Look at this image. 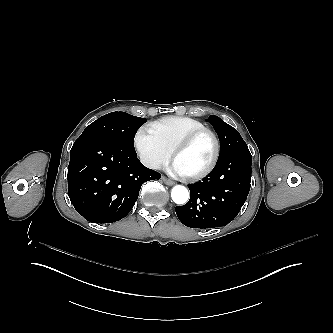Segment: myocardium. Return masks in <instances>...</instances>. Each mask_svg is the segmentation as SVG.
Segmentation results:
<instances>
[{"instance_id": "1", "label": "myocardium", "mask_w": 333, "mask_h": 333, "mask_svg": "<svg viewBox=\"0 0 333 333\" xmlns=\"http://www.w3.org/2000/svg\"><path fill=\"white\" fill-rule=\"evenodd\" d=\"M202 134H209L211 136V138L213 139L214 146H215L214 154H213L210 162L204 168L200 169L199 171H197L194 174L184 176L183 178L186 181H195V180L201 179V178L205 177L207 174H209L214 169V167L216 166V164L220 158V152H221V145H220L219 138L212 130H210L208 128L197 129V130H194V131L186 134L183 138H181L172 147V149L170 151L169 160H171L173 158V156H175L177 153H179L183 149L187 148L195 139H197Z\"/></svg>"}]
</instances>
